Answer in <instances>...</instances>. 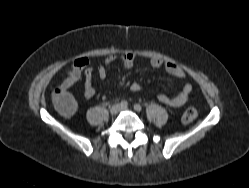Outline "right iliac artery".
<instances>
[{
    "instance_id": "1",
    "label": "right iliac artery",
    "mask_w": 249,
    "mask_h": 188,
    "mask_svg": "<svg viewBox=\"0 0 249 188\" xmlns=\"http://www.w3.org/2000/svg\"><path fill=\"white\" fill-rule=\"evenodd\" d=\"M120 106H121V107H127V106H128L127 101H125V100L121 101V102H120Z\"/></svg>"
}]
</instances>
